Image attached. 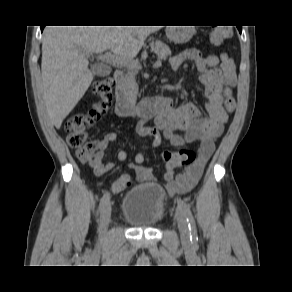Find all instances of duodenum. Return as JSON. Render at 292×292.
<instances>
[{
    "mask_svg": "<svg viewBox=\"0 0 292 292\" xmlns=\"http://www.w3.org/2000/svg\"><path fill=\"white\" fill-rule=\"evenodd\" d=\"M115 81V111L118 116L127 117L131 114H135L139 119H149L159 113H161L167 103L168 98L160 97L151 100H145L139 103H134L126 95L123 81L124 73L121 70H117L114 73Z\"/></svg>",
    "mask_w": 292,
    "mask_h": 292,
    "instance_id": "410a0bca",
    "label": "duodenum"
}]
</instances>
